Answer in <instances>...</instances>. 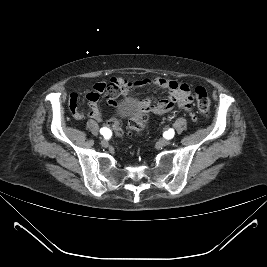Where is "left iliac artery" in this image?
Instances as JSON below:
<instances>
[{"instance_id":"left-iliac-artery-1","label":"left iliac artery","mask_w":267,"mask_h":267,"mask_svg":"<svg viewBox=\"0 0 267 267\" xmlns=\"http://www.w3.org/2000/svg\"><path fill=\"white\" fill-rule=\"evenodd\" d=\"M166 133H167V138H172L174 136V130L173 129H169Z\"/></svg>"}]
</instances>
